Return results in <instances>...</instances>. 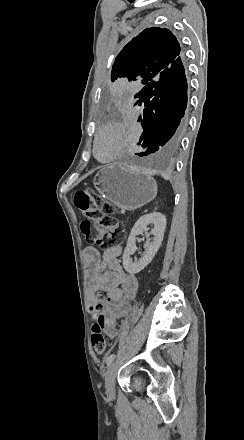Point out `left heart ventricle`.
Returning <instances> with one entry per match:
<instances>
[{"label": "left heart ventricle", "mask_w": 244, "mask_h": 440, "mask_svg": "<svg viewBox=\"0 0 244 440\" xmlns=\"http://www.w3.org/2000/svg\"><path fill=\"white\" fill-rule=\"evenodd\" d=\"M111 136L108 132H104L98 139V153L101 158H105L109 154Z\"/></svg>", "instance_id": "1"}]
</instances>
